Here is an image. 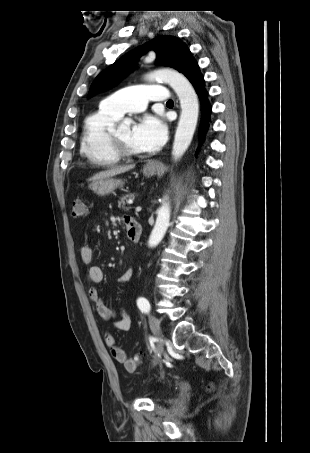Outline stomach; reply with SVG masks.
Listing matches in <instances>:
<instances>
[{"label": "stomach", "instance_id": "0dacf381", "mask_svg": "<svg viewBox=\"0 0 310 453\" xmlns=\"http://www.w3.org/2000/svg\"><path fill=\"white\" fill-rule=\"evenodd\" d=\"M157 172V168H151L148 165L144 166L143 174L145 176H153ZM123 182L111 177L93 181L90 189L98 195H107L113 192L117 187L122 186Z\"/></svg>", "mask_w": 310, "mask_h": 453}]
</instances>
